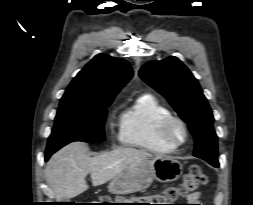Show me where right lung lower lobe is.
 Returning <instances> with one entry per match:
<instances>
[{"label":"right lung lower lobe","instance_id":"obj_1","mask_svg":"<svg viewBox=\"0 0 253 205\" xmlns=\"http://www.w3.org/2000/svg\"><path fill=\"white\" fill-rule=\"evenodd\" d=\"M53 153L54 152H46L45 153V160L47 161Z\"/></svg>","mask_w":253,"mask_h":205}]
</instances>
